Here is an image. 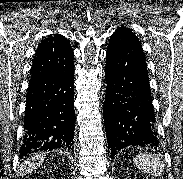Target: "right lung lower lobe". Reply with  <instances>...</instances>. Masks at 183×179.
Returning a JSON list of instances; mask_svg holds the SVG:
<instances>
[{"instance_id":"98d812e1","label":"right lung lower lobe","mask_w":183,"mask_h":179,"mask_svg":"<svg viewBox=\"0 0 183 179\" xmlns=\"http://www.w3.org/2000/svg\"><path fill=\"white\" fill-rule=\"evenodd\" d=\"M73 100L74 70L68 74L31 76L20 158L57 148L73 152Z\"/></svg>"}]
</instances>
